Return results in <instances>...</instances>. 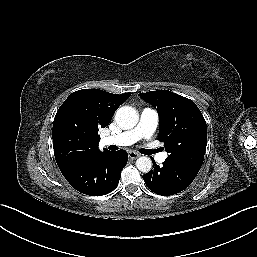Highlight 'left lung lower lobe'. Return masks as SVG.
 Returning <instances> with one entry per match:
<instances>
[{
	"instance_id": "0a47b994",
	"label": "left lung lower lobe",
	"mask_w": 257,
	"mask_h": 257,
	"mask_svg": "<svg viewBox=\"0 0 257 257\" xmlns=\"http://www.w3.org/2000/svg\"><path fill=\"white\" fill-rule=\"evenodd\" d=\"M199 170L187 162L167 158L161 167L153 161V169L144 174L143 179L151 191L168 196L186 189Z\"/></svg>"
}]
</instances>
